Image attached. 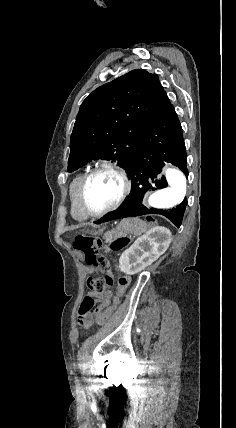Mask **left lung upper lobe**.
<instances>
[{"instance_id": "1", "label": "left lung upper lobe", "mask_w": 236, "mask_h": 428, "mask_svg": "<svg viewBox=\"0 0 236 428\" xmlns=\"http://www.w3.org/2000/svg\"><path fill=\"white\" fill-rule=\"evenodd\" d=\"M170 105L158 76L142 69L98 87L80 106L68 172L92 159L118 161L126 169L144 130Z\"/></svg>"}]
</instances>
